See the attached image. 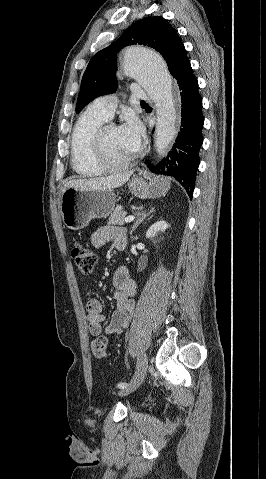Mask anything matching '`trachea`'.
Returning <instances> with one entry per match:
<instances>
[{"label": "trachea", "instance_id": "obj_1", "mask_svg": "<svg viewBox=\"0 0 266 479\" xmlns=\"http://www.w3.org/2000/svg\"><path fill=\"white\" fill-rule=\"evenodd\" d=\"M141 103H145V101H141Z\"/></svg>", "mask_w": 266, "mask_h": 479}]
</instances>
